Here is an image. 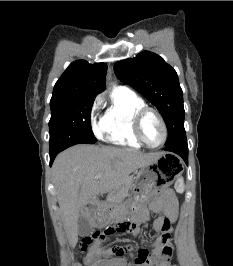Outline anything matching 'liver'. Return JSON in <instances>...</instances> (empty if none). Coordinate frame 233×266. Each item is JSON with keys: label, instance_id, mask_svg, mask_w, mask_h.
Masks as SVG:
<instances>
[{"label": "liver", "instance_id": "6515ba94", "mask_svg": "<svg viewBox=\"0 0 233 266\" xmlns=\"http://www.w3.org/2000/svg\"><path fill=\"white\" fill-rule=\"evenodd\" d=\"M160 156V153H144L132 148L80 144L56 157L53 164L54 186L64 228L72 246L78 241V218L80 213H84L86 203L99 193L117 189L131 173ZM98 174L101 178H97ZM86 216L96 226L94 217Z\"/></svg>", "mask_w": 233, "mask_h": 266}]
</instances>
